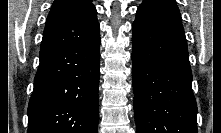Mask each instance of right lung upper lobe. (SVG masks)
Returning <instances> with one entry per match:
<instances>
[{
    "label": "right lung upper lobe",
    "instance_id": "obj_1",
    "mask_svg": "<svg viewBox=\"0 0 221 133\" xmlns=\"http://www.w3.org/2000/svg\"><path fill=\"white\" fill-rule=\"evenodd\" d=\"M91 0H55L48 14L41 49L80 45L99 31Z\"/></svg>",
    "mask_w": 221,
    "mask_h": 133
}]
</instances>
